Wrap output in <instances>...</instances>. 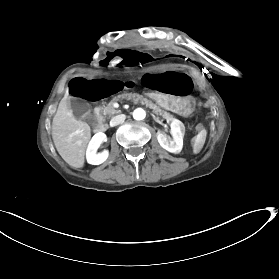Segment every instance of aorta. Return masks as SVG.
I'll use <instances>...</instances> for the list:
<instances>
[{"label":"aorta","instance_id":"obj_1","mask_svg":"<svg viewBox=\"0 0 279 279\" xmlns=\"http://www.w3.org/2000/svg\"><path fill=\"white\" fill-rule=\"evenodd\" d=\"M145 116H146V112L142 108H137L133 112V118L135 120H143L145 118Z\"/></svg>","mask_w":279,"mask_h":279}]
</instances>
